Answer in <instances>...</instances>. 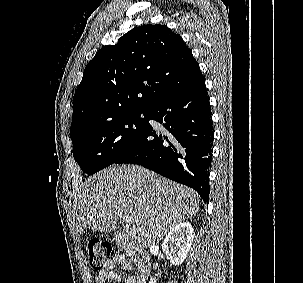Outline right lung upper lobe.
Segmentation results:
<instances>
[{"mask_svg":"<svg viewBox=\"0 0 303 283\" xmlns=\"http://www.w3.org/2000/svg\"><path fill=\"white\" fill-rule=\"evenodd\" d=\"M202 73L179 34L143 25L100 49L73 97L70 134L134 111L187 87Z\"/></svg>","mask_w":303,"mask_h":283,"instance_id":"obj_1","label":"right lung upper lobe"}]
</instances>
